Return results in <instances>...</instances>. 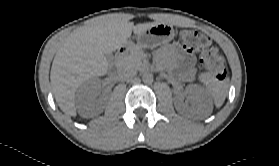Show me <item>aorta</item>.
I'll return each instance as SVG.
<instances>
[{
  "instance_id": "obj_1",
  "label": "aorta",
  "mask_w": 279,
  "mask_h": 166,
  "mask_svg": "<svg viewBox=\"0 0 279 166\" xmlns=\"http://www.w3.org/2000/svg\"><path fill=\"white\" fill-rule=\"evenodd\" d=\"M142 81L144 82V83H152L153 82V74L152 73H150V72H145V73H143V75H142Z\"/></svg>"
}]
</instances>
